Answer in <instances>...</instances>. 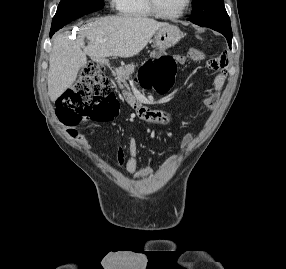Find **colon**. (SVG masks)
I'll return each mask as SVG.
<instances>
[{
    "label": "colon",
    "mask_w": 286,
    "mask_h": 269,
    "mask_svg": "<svg viewBox=\"0 0 286 269\" xmlns=\"http://www.w3.org/2000/svg\"><path fill=\"white\" fill-rule=\"evenodd\" d=\"M151 58L141 71V82L147 88L168 91L174 82L175 60L166 55L165 49H152ZM119 105L111 90L103 68L95 63L86 64L77 84L58 98L56 115L69 127L83 119L107 121L117 116ZM74 135V131H70Z\"/></svg>",
    "instance_id": "5ec220e1"
}]
</instances>
